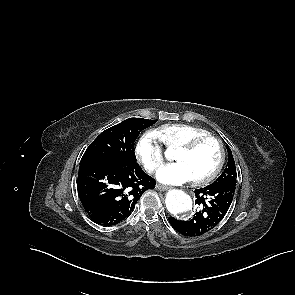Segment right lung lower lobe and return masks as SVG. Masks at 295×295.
<instances>
[{"mask_svg":"<svg viewBox=\"0 0 295 295\" xmlns=\"http://www.w3.org/2000/svg\"><path fill=\"white\" fill-rule=\"evenodd\" d=\"M155 180L136 161L114 158L79 166L77 189L90 218L103 226L125 220Z\"/></svg>","mask_w":295,"mask_h":295,"instance_id":"1","label":"right lung lower lobe"}]
</instances>
